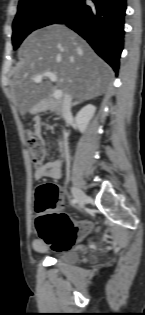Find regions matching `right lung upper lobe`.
<instances>
[{"mask_svg": "<svg viewBox=\"0 0 145 315\" xmlns=\"http://www.w3.org/2000/svg\"><path fill=\"white\" fill-rule=\"evenodd\" d=\"M23 1H27V0H20L19 3H20V2H23Z\"/></svg>", "mask_w": 145, "mask_h": 315, "instance_id": "obj_1", "label": "right lung upper lobe"}]
</instances>
